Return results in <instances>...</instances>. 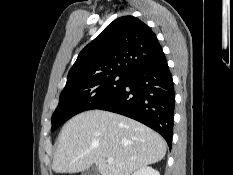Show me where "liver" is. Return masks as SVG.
<instances>
[{
  "instance_id": "1",
  "label": "liver",
  "mask_w": 233,
  "mask_h": 175,
  "mask_svg": "<svg viewBox=\"0 0 233 175\" xmlns=\"http://www.w3.org/2000/svg\"><path fill=\"white\" fill-rule=\"evenodd\" d=\"M165 154L164 139L144 124L116 113L90 110L63 126L52 169L78 173L95 164L101 175H131L161 161ZM108 158L114 162L109 164Z\"/></svg>"
}]
</instances>
